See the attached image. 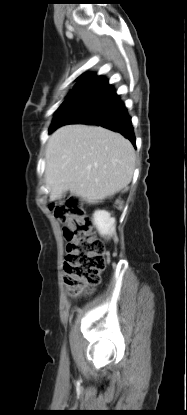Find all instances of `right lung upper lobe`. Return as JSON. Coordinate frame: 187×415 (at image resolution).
<instances>
[{
	"mask_svg": "<svg viewBox=\"0 0 187 415\" xmlns=\"http://www.w3.org/2000/svg\"><path fill=\"white\" fill-rule=\"evenodd\" d=\"M92 74H93L92 72L82 74L80 77L77 78L78 83L76 85H78L80 82H82L83 80H85L87 77H89Z\"/></svg>",
	"mask_w": 187,
	"mask_h": 415,
	"instance_id": "right-lung-upper-lobe-1",
	"label": "right lung upper lobe"
}]
</instances>
